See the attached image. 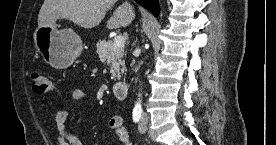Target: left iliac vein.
Instances as JSON below:
<instances>
[{"label": "left iliac vein", "instance_id": "4c4485c4", "mask_svg": "<svg viewBox=\"0 0 276 145\" xmlns=\"http://www.w3.org/2000/svg\"><path fill=\"white\" fill-rule=\"evenodd\" d=\"M148 120H149L148 115L144 113L138 125V129L140 133H145L147 131Z\"/></svg>", "mask_w": 276, "mask_h": 145}]
</instances>
